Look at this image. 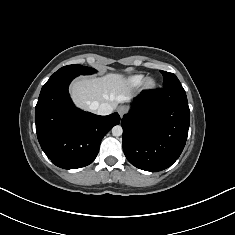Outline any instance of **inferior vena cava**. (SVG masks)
Segmentation results:
<instances>
[{
	"label": "inferior vena cava",
	"mask_w": 235,
	"mask_h": 235,
	"mask_svg": "<svg viewBox=\"0 0 235 235\" xmlns=\"http://www.w3.org/2000/svg\"><path fill=\"white\" fill-rule=\"evenodd\" d=\"M90 109L95 111L98 115H109L113 112V107L108 103L97 104L93 102Z\"/></svg>",
	"instance_id": "602c4592"
}]
</instances>
